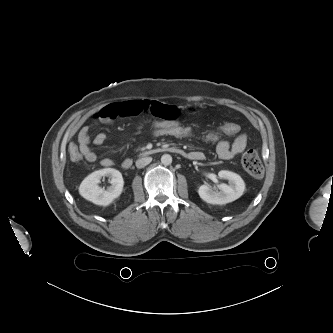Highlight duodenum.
<instances>
[{"mask_svg":"<svg viewBox=\"0 0 333 333\" xmlns=\"http://www.w3.org/2000/svg\"><path fill=\"white\" fill-rule=\"evenodd\" d=\"M161 151H168V152H171V153H175V154H180V155H183V151L176 148V147H167V148H154V149H151L147 152L148 155H153V154H156V153H159ZM133 162L130 158H126L123 162H122V167L124 169H129L131 168Z\"/></svg>","mask_w":333,"mask_h":333,"instance_id":"410a0bca","label":"duodenum"}]
</instances>
